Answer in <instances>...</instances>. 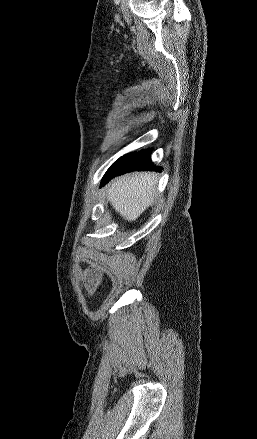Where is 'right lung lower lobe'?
I'll list each match as a JSON object with an SVG mask.
<instances>
[{
    "mask_svg": "<svg viewBox=\"0 0 257 439\" xmlns=\"http://www.w3.org/2000/svg\"><path fill=\"white\" fill-rule=\"evenodd\" d=\"M152 149L141 150L127 154L118 159L104 175L101 186H104L110 179L131 171H162L161 167L155 166L150 160Z\"/></svg>",
    "mask_w": 257,
    "mask_h": 439,
    "instance_id": "1",
    "label": "right lung lower lobe"
}]
</instances>
